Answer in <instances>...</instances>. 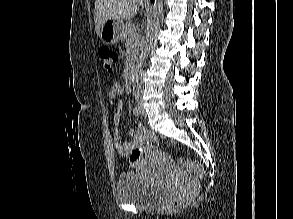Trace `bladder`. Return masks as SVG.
<instances>
[{"mask_svg": "<svg viewBox=\"0 0 293 219\" xmlns=\"http://www.w3.org/2000/svg\"><path fill=\"white\" fill-rule=\"evenodd\" d=\"M167 188L149 181L137 172H124L116 185V198L122 204L153 209L167 196Z\"/></svg>", "mask_w": 293, "mask_h": 219, "instance_id": "bladder-1", "label": "bladder"}]
</instances>
